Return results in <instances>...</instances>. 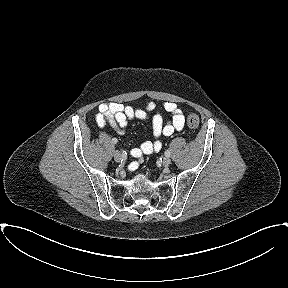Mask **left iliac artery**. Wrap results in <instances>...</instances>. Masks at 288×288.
<instances>
[{
  "mask_svg": "<svg viewBox=\"0 0 288 288\" xmlns=\"http://www.w3.org/2000/svg\"><path fill=\"white\" fill-rule=\"evenodd\" d=\"M165 156H170V150L167 149V150L165 151Z\"/></svg>",
  "mask_w": 288,
  "mask_h": 288,
  "instance_id": "left-iliac-artery-1",
  "label": "left iliac artery"
}]
</instances>
